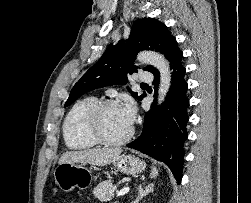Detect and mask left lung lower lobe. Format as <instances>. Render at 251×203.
Here are the masks:
<instances>
[{
    "mask_svg": "<svg viewBox=\"0 0 251 203\" xmlns=\"http://www.w3.org/2000/svg\"><path fill=\"white\" fill-rule=\"evenodd\" d=\"M165 57L172 69V82L167 97L161 106L153 104L145 114L141 135L127 144V147L164 162L180 183L185 155L184 143L188 137L186 126L189 121V99L186 95L188 85L184 78L186 71L181 63L183 53L176 39L171 43ZM152 74L154 88L157 89L159 72L155 69Z\"/></svg>",
    "mask_w": 251,
    "mask_h": 203,
    "instance_id": "0a47b994",
    "label": "left lung lower lobe"
}]
</instances>
